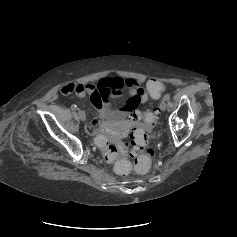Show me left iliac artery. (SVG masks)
Segmentation results:
<instances>
[{
    "label": "left iliac artery",
    "mask_w": 237,
    "mask_h": 237,
    "mask_svg": "<svg viewBox=\"0 0 237 237\" xmlns=\"http://www.w3.org/2000/svg\"><path fill=\"white\" fill-rule=\"evenodd\" d=\"M165 101H169L170 100V95H165L164 98H163Z\"/></svg>",
    "instance_id": "left-iliac-artery-1"
}]
</instances>
